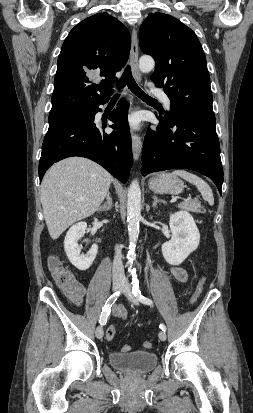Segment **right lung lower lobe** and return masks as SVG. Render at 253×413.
<instances>
[{"mask_svg": "<svg viewBox=\"0 0 253 413\" xmlns=\"http://www.w3.org/2000/svg\"><path fill=\"white\" fill-rule=\"evenodd\" d=\"M108 99L94 104L87 109L84 118L53 126L45 135L39 164V178L42 180L46 170L55 162L67 157L81 156L103 166L113 176L125 183L133 163L131 137L127 121L128 104L120 103L110 114L115 131L106 134L94 123V117L100 111L99 105Z\"/></svg>", "mask_w": 253, "mask_h": 413, "instance_id": "98d812e1", "label": "right lung lower lobe"}]
</instances>
